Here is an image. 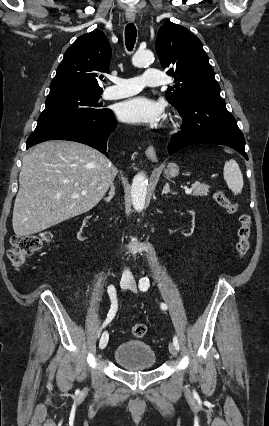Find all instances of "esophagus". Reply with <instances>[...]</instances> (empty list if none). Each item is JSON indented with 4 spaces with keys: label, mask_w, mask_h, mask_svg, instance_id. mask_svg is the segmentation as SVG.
I'll list each match as a JSON object with an SVG mask.
<instances>
[{
    "label": "esophagus",
    "mask_w": 269,
    "mask_h": 426,
    "mask_svg": "<svg viewBox=\"0 0 269 426\" xmlns=\"http://www.w3.org/2000/svg\"><path fill=\"white\" fill-rule=\"evenodd\" d=\"M127 20H128L129 22H133V21L135 20V17H134V16H128V17H127ZM145 154H146L147 158H148L149 160H151L152 162H155V161L157 160L156 151H155V149H154V147H153V146H149V147L146 149Z\"/></svg>",
    "instance_id": "esophagus-1"
}]
</instances>
